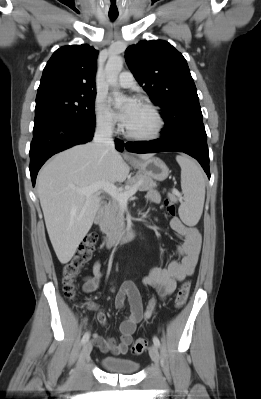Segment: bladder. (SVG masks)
<instances>
[{
	"label": "bladder",
	"instance_id": "obj_1",
	"mask_svg": "<svg viewBox=\"0 0 261 399\" xmlns=\"http://www.w3.org/2000/svg\"><path fill=\"white\" fill-rule=\"evenodd\" d=\"M99 363L106 371L115 374L131 375L139 369L136 361L110 356L100 358Z\"/></svg>",
	"mask_w": 261,
	"mask_h": 399
}]
</instances>
